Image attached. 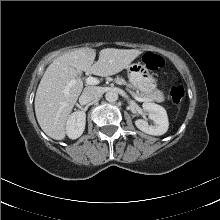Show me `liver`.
<instances>
[{
    "label": "liver",
    "instance_id": "6515ba94",
    "mask_svg": "<svg viewBox=\"0 0 220 220\" xmlns=\"http://www.w3.org/2000/svg\"><path fill=\"white\" fill-rule=\"evenodd\" d=\"M142 53L139 49L106 48L96 57L95 49L80 48L56 58L46 69L35 96V113L41 129L55 140H63L70 113L83 89L78 72L106 77L126 69ZM74 81L75 84L68 87Z\"/></svg>",
    "mask_w": 220,
    "mask_h": 220
}]
</instances>
